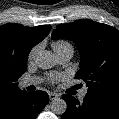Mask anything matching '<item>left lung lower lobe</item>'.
I'll return each instance as SVG.
<instances>
[{
    "label": "left lung lower lobe",
    "mask_w": 119,
    "mask_h": 119,
    "mask_svg": "<svg viewBox=\"0 0 119 119\" xmlns=\"http://www.w3.org/2000/svg\"><path fill=\"white\" fill-rule=\"evenodd\" d=\"M67 110L61 119H119V98L87 93L82 102L65 94Z\"/></svg>",
    "instance_id": "obj_1"
}]
</instances>
